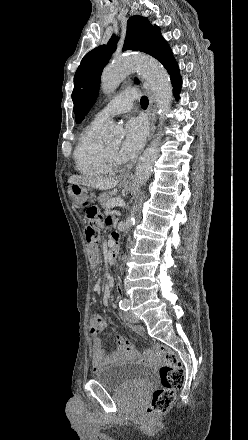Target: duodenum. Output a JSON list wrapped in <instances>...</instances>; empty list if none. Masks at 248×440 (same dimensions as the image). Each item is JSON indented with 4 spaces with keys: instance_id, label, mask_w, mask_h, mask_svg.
I'll list each match as a JSON object with an SVG mask.
<instances>
[{
    "instance_id": "duodenum-1",
    "label": "duodenum",
    "mask_w": 248,
    "mask_h": 440,
    "mask_svg": "<svg viewBox=\"0 0 248 440\" xmlns=\"http://www.w3.org/2000/svg\"><path fill=\"white\" fill-rule=\"evenodd\" d=\"M118 254V238L117 236H113L111 240V249L109 253V259L111 262H114Z\"/></svg>"
}]
</instances>
